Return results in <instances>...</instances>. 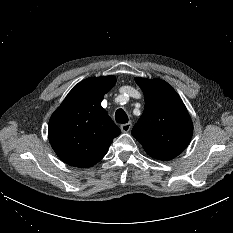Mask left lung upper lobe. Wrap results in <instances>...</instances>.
Listing matches in <instances>:
<instances>
[{
  "mask_svg": "<svg viewBox=\"0 0 233 233\" xmlns=\"http://www.w3.org/2000/svg\"><path fill=\"white\" fill-rule=\"evenodd\" d=\"M145 97L142 116L132 135L148 155L171 160L188 146L193 125L189 113L176 91L161 79L136 78Z\"/></svg>",
  "mask_w": 233,
  "mask_h": 233,
  "instance_id": "5c2ea615",
  "label": "left lung upper lobe"
}]
</instances>
